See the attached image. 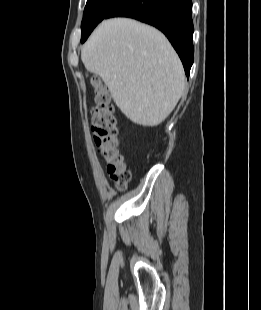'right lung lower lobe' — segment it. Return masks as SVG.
Instances as JSON below:
<instances>
[{"mask_svg": "<svg viewBox=\"0 0 261 310\" xmlns=\"http://www.w3.org/2000/svg\"><path fill=\"white\" fill-rule=\"evenodd\" d=\"M117 16L131 17L161 30L178 53L189 77L194 60L191 0H125L106 18ZM91 32L85 33L82 43Z\"/></svg>", "mask_w": 261, "mask_h": 310, "instance_id": "98d812e1", "label": "right lung lower lobe"}]
</instances>
